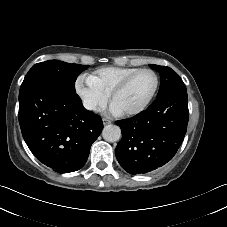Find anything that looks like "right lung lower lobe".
<instances>
[{
    "mask_svg": "<svg viewBox=\"0 0 227 227\" xmlns=\"http://www.w3.org/2000/svg\"><path fill=\"white\" fill-rule=\"evenodd\" d=\"M18 117L31 152L59 173L82 168L103 129L101 118L83 107L76 92L46 81L20 91Z\"/></svg>",
    "mask_w": 227,
    "mask_h": 227,
    "instance_id": "98d812e1",
    "label": "right lung lower lobe"
}]
</instances>
